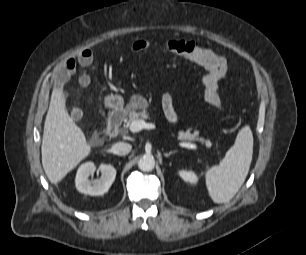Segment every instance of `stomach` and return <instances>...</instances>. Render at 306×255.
I'll use <instances>...</instances> for the list:
<instances>
[{"mask_svg": "<svg viewBox=\"0 0 306 255\" xmlns=\"http://www.w3.org/2000/svg\"><path fill=\"white\" fill-rule=\"evenodd\" d=\"M105 106L112 109L121 108L123 106V98L120 95L110 94L104 99Z\"/></svg>", "mask_w": 306, "mask_h": 255, "instance_id": "0dacf381", "label": "stomach"}]
</instances>
